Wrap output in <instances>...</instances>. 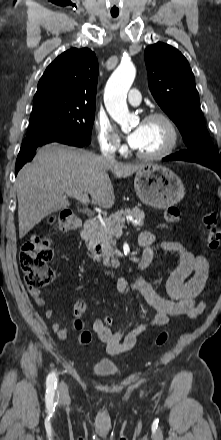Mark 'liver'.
I'll return each mask as SVG.
<instances>
[{
  "instance_id": "obj_1",
  "label": "liver",
  "mask_w": 221,
  "mask_h": 440,
  "mask_svg": "<svg viewBox=\"0 0 221 440\" xmlns=\"http://www.w3.org/2000/svg\"><path fill=\"white\" fill-rule=\"evenodd\" d=\"M144 165L110 162L93 152L58 143L41 147L32 163L17 175L19 237L43 218L69 207L64 196L67 191L89 193L99 207H112L115 196L107 172L125 178Z\"/></svg>"
}]
</instances>
